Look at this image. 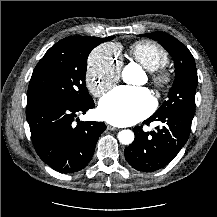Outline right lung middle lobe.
Segmentation results:
<instances>
[{
    "instance_id": "right-lung-middle-lobe-1",
    "label": "right lung middle lobe",
    "mask_w": 217,
    "mask_h": 217,
    "mask_svg": "<svg viewBox=\"0 0 217 217\" xmlns=\"http://www.w3.org/2000/svg\"><path fill=\"white\" fill-rule=\"evenodd\" d=\"M113 39L70 36L52 46L30 79L27 104L63 102L84 104L92 97L85 85L87 57L100 43Z\"/></svg>"
}]
</instances>
